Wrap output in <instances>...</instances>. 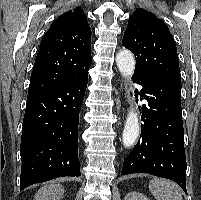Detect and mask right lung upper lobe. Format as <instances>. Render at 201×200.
<instances>
[{"label": "right lung upper lobe", "mask_w": 201, "mask_h": 200, "mask_svg": "<svg viewBox=\"0 0 201 200\" xmlns=\"http://www.w3.org/2000/svg\"><path fill=\"white\" fill-rule=\"evenodd\" d=\"M91 29L82 8L59 16L45 33L31 74L28 94L75 79L91 65Z\"/></svg>", "instance_id": "right-lung-upper-lobe-1"}]
</instances>
